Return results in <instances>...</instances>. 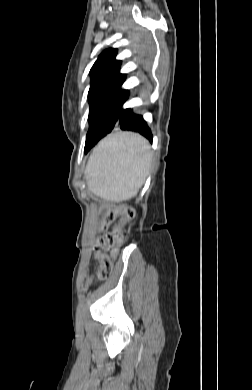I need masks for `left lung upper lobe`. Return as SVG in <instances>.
Wrapping results in <instances>:
<instances>
[{
    "instance_id": "5c2ea615",
    "label": "left lung upper lobe",
    "mask_w": 252,
    "mask_h": 390,
    "mask_svg": "<svg viewBox=\"0 0 252 390\" xmlns=\"http://www.w3.org/2000/svg\"><path fill=\"white\" fill-rule=\"evenodd\" d=\"M116 54L113 48L103 51L90 70L89 123L105 114L118 115L129 97V91L121 88L126 75L119 73L121 61Z\"/></svg>"
}]
</instances>
